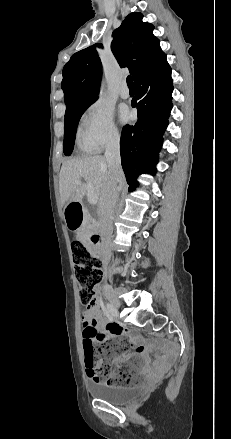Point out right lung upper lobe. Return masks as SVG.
Masks as SVG:
<instances>
[{
	"label": "right lung upper lobe",
	"instance_id": "obj_1",
	"mask_svg": "<svg viewBox=\"0 0 231 439\" xmlns=\"http://www.w3.org/2000/svg\"><path fill=\"white\" fill-rule=\"evenodd\" d=\"M141 13L133 12L114 30L111 50L121 67H127L135 80L156 66L166 55L153 35L154 26L142 21ZM95 44L70 58L63 68L61 88L66 110L98 98L102 65Z\"/></svg>",
	"mask_w": 231,
	"mask_h": 439
}]
</instances>
